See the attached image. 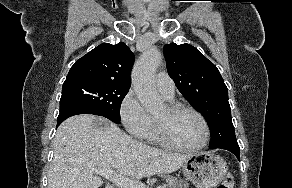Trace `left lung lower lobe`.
<instances>
[{
    "mask_svg": "<svg viewBox=\"0 0 292 188\" xmlns=\"http://www.w3.org/2000/svg\"><path fill=\"white\" fill-rule=\"evenodd\" d=\"M217 148L225 149L232 152L240 160V148L237 141L229 142L218 146Z\"/></svg>",
    "mask_w": 292,
    "mask_h": 188,
    "instance_id": "0a47b994",
    "label": "left lung lower lobe"
}]
</instances>
